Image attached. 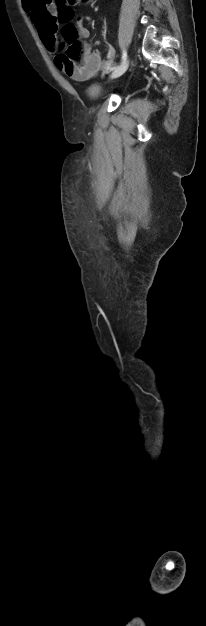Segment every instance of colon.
Wrapping results in <instances>:
<instances>
[{"label":"colon","mask_w":206,"mask_h":626,"mask_svg":"<svg viewBox=\"0 0 206 626\" xmlns=\"http://www.w3.org/2000/svg\"><path fill=\"white\" fill-rule=\"evenodd\" d=\"M91 0H54L55 6L59 10L61 19L70 17L69 7L79 4H87ZM64 43L66 45L65 58L71 61H79L83 54V45L78 40V31L73 25H68L63 31Z\"/></svg>","instance_id":"1"}]
</instances>
